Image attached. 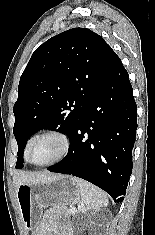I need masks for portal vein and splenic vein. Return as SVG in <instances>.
<instances>
[{"instance_id":"portal-vein-and-splenic-vein-1","label":"portal vein and splenic vein","mask_w":155,"mask_h":235,"mask_svg":"<svg viewBox=\"0 0 155 235\" xmlns=\"http://www.w3.org/2000/svg\"><path fill=\"white\" fill-rule=\"evenodd\" d=\"M71 212H72V213H76V212H77L76 207H72V208H71Z\"/></svg>"}]
</instances>
